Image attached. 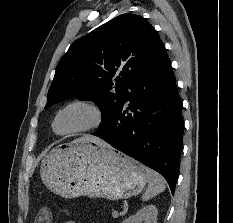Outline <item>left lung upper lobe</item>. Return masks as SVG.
<instances>
[{
    "label": "left lung upper lobe",
    "instance_id": "obj_1",
    "mask_svg": "<svg viewBox=\"0 0 233 223\" xmlns=\"http://www.w3.org/2000/svg\"><path fill=\"white\" fill-rule=\"evenodd\" d=\"M159 41L135 14L117 16L76 40L56 67L45 109L75 96L90 99L102 112L99 129L104 127L126 103Z\"/></svg>",
    "mask_w": 233,
    "mask_h": 223
}]
</instances>
